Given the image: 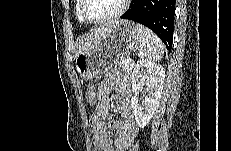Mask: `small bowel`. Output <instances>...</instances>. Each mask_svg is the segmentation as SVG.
I'll return each mask as SVG.
<instances>
[{"label": "small bowel", "instance_id": "1", "mask_svg": "<svg viewBox=\"0 0 231 151\" xmlns=\"http://www.w3.org/2000/svg\"><path fill=\"white\" fill-rule=\"evenodd\" d=\"M112 91L119 94L117 112L120 119L111 121L117 135L112 137L108 131L107 120L110 119V106ZM131 86L122 75L110 73L105 75L98 87V109L92 117L93 144L98 151H126L138 134L133 108L131 105Z\"/></svg>", "mask_w": 231, "mask_h": 151}]
</instances>
